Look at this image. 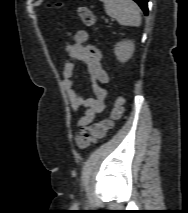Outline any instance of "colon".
Returning a JSON list of instances; mask_svg holds the SVG:
<instances>
[{
    "label": "colon",
    "instance_id": "obj_1",
    "mask_svg": "<svg viewBox=\"0 0 188 213\" xmlns=\"http://www.w3.org/2000/svg\"><path fill=\"white\" fill-rule=\"evenodd\" d=\"M77 14L81 21L87 26H93L96 22V16L91 9L86 6H79L77 8ZM122 111L123 98L118 96L116 97L110 115L107 118L92 125L84 126L77 132L75 137L76 144L81 148H85L96 140L104 137L106 132L112 127L113 122L121 116Z\"/></svg>",
    "mask_w": 188,
    "mask_h": 213
}]
</instances>
